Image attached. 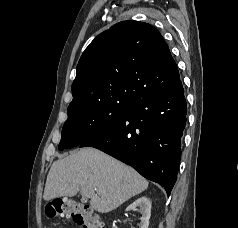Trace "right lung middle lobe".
Listing matches in <instances>:
<instances>
[{
    "label": "right lung middle lobe",
    "mask_w": 238,
    "mask_h": 228,
    "mask_svg": "<svg viewBox=\"0 0 238 228\" xmlns=\"http://www.w3.org/2000/svg\"><path fill=\"white\" fill-rule=\"evenodd\" d=\"M127 107L128 103H101L69 113L58 149L81 145L117 122Z\"/></svg>",
    "instance_id": "dd1d6c3e"
}]
</instances>
